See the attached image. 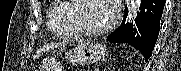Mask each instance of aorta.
<instances>
[{
	"instance_id": "aorta-1",
	"label": "aorta",
	"mask_w": 181,
	"mask_h": 71,
	"mask_svg": "<svg viewBox=\"0 0 181 71\" xmlns=\"http://www.w3.org/2000/svg\"><path fill=\"white\" fill-rule=\"evenodd\" d=\"M140 12V3L137 2L130 13V20H132Z\"/></svg>"
}]
</instances>
